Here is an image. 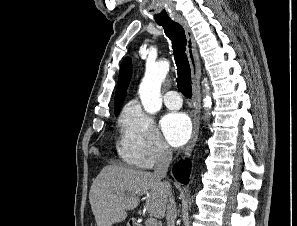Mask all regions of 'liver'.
<instances>
[{
  "label": "liver",
  "instance_id": "liver-1",
  "mask_svg": "<svg viewBox=\"0 0 297 226\" xmlns=\"http://www.w3.org/2000/svg\"><path fill=\"white\" fill-rule=\"evenodd\" d=\"M147 194L145 209L158 219L165 216L168 189L153 173L128 167L105 166L93 181L89 201L97 226L124 221L140 197Z\"/></svg>",
  "mask_w": 297,
  "mask_h": 226
}]
</instances>
